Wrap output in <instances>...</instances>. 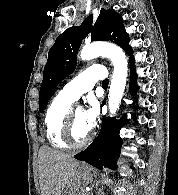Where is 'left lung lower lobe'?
I'll return each instance as SVG.
<instances>
[{
  "label": "left lung lower lobe",
  "instance_id": "left-lung-lower-lobe-1",
  "mask_svg": "<svg viewBox=\"0 0 178 195\" xmlns=\"http://www.w3.org/2000/svg\"><path fill=\"white\" fill-rule=\"evenodd\" d=\"M131 63V81H130V92L135 94L137 91L136 86V72L134 68V59L130 58ZM105 104V100L102 105ZM126 114L122 116L120 121L117 123L114 118L103 117L101 130L97 138L90 144V146L75 155L74 157L78 160L86 161L94 167L102 169L103 165L113 166L117 160L122 140L119 138V131L121 127L126 123Z\"/></svg>",
  "mask_w": 178,
  "mask_h": 195
}]
</instances>
